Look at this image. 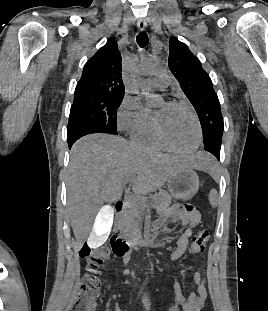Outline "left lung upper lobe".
I'll return each mask as SVG.
<instances>
[{
  "instance_id": "1",
  "label": "left lung upper lobe",
  "mask_w": 268,
  "mask_h": 311,
  "mask_svg": "<svg viewBox=\"0 0 268 311\" xmlns=\"http://www.w3.org/2000/svg\"><path fill=\"white\" fill-rule=\"evenodd\" d=\"M168 65L198 114L204 145L221 147L224 124L220 103L200 61L186 44L173 37L169 41Z\"/></svg>"
}]
</instances>
